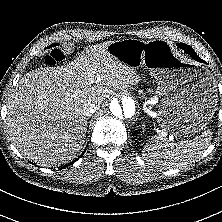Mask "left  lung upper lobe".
Here are the masks:
<instances>
[{"mask_svg": "<svg viewBox=\"0 0 222 222\" xmlns=\"http://www.w3.org/2000/svg\"><path fill=\"white\" fill-rule=\"evenodd\" d=\"M178 46L182 48L185 52H195L189 45L183 44V43H178Z\"/></svg>", "mask_w": 222, "mask_h": 222, "instance_id": "1", "label": "left lung upper lobe"}]
</instances>
